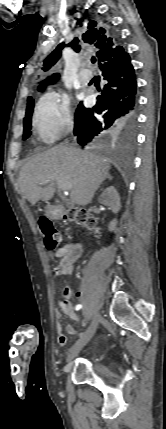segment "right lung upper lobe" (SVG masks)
<instances>
[{"label": "right lung upper lobe", "instance_id": "right-lung-upper-lobe-1", "mask_svg": "<svg viewBox=\"0 0 166 429\" xmlns=\"http://www.w3.org/2000/svg\"><path fill=\"white\" fill-rule=\"evenodd\" d=\"M104 30L100 29H90L85 34H83L84 42L89 44H94L98 49L96 52V56L99 62L107 61L113 57H117L118 55L124 52L122 46H117L116 39L110 38L103 34ZM78 38H74L72 42L68 45L65 43H60L56 49L48 55V57L44 60L42 70L47 71L50 69L61 57V50L66 47H72L74 51L79 52L80 46L78 45ZM59 77V74H53L51 78H48L43 84H49L55 81ZM31 97H28L29 100Z\"/></svg>", "mask_w": 166, "mask_h": 429}]
</instances>
